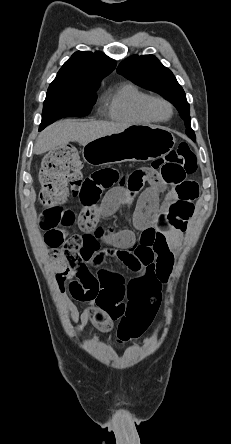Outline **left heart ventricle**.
Wrapping results in <instances>:
<instances>
[{
	"instance_id": "1",
	"label": "left heart ventricle",
	"mask_w": 231,
	"mask_h": 444,
	"mask_svg": "<svg viewBox=\"0 0 231 444\" xmlns=\"http://www.w3.org/2000/svg\"><path fill=\"white\" fill-rule=\"evenodd\" d=\"M154 109H155L156 113L162 118H165L169 115V109L164 103H160V102L156 103L154 105Z\"/></svg>"
}]
</instances>
